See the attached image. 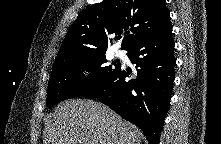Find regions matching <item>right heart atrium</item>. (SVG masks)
Returning <instances> with one entry per match:
<instances>
[{"mask_svg": "<svg viewBox=\"0 0 221 144\" xmlns=\"http://www.w3.org/2000/svg\"><path fill=\"white\" fill-rule=\"evenodd\" d=\"M82 78H89L91 76V69L83 68L80 72Z\"/></svg>", "mask_w": 221, "mask_h": 144, "instance_id": "d8ad5b80", "label": "right heart atrium"}]
</instances>
